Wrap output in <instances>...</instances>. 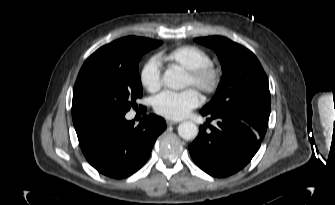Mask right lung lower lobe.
<instances>
[{
  "label": "right lung lower lobe",
  "mask_w": 335,
  "mask_h": 205,
  "mask_svg": "<svg viewBox=\"0 0 335 205\" xmlns=\"http://www.w3.org/2000/svg\"><path fill=\"white\" fill-rule=\"evenodd\" d=\"M142 109L146 111L145 107ZM74 127L88 162L100 173L120 179L144 165L166 122L150 114L134 127V121H127L122 114L76 122Z\"/></svg>",
  "instance_id": "right-lung-lower-lobe-1"
}]
</instances>
